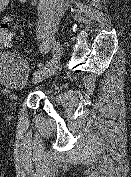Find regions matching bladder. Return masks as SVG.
Here are the masks:
<instances>
[{"label":"bladder","instance_id":"bladder-1","mask_svg":"<svg viewBox=\"0 0 131 177\" xmlns=\"http://www.w3.org/2000/svg\"><path fill=\"white\" fill-rule=\"evenodd\" d=\"M0 78L9 87L22 86L26 80L23 60L14 53H8L0 60Z\"/></svg>","mask_w":131,"mask_h":177}]
</instances>
